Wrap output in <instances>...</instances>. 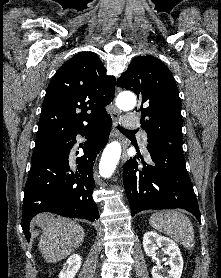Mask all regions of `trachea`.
Listing matches in <instances>:
<instances>
[{
	"label": "trachea",
	"instance_id": "1",
	"mask_svg": "<svg viewBox=\"0 0 221 278\" xmlns=\"http://www.w3.org/2000/svg\"><path fill=\"white\" fill-rule=\"evenodd\" d=\"M118 129H119V131H120L121 133H123V134H132V133H135V131L127 130V129L122 128V127H120V126H118Z\"/></svg>",
	"mask_w": 221,
	"mask_h": 278
}]
</instances>
